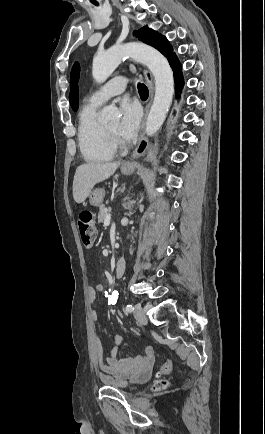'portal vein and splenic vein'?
I'll use <instances>...</instances> for the list:
<instances>
[{
  "instance_id": "portal-vein-and-splenic-vein-1",
  "label": "portal vein and splenic vein",
  "mask_w": 265,
  "mask_h": 434,
  "mask_svg": "<svg viewBox=\"0 0 265 434\" xmlns=\"http://www.w3.org/2000/svg\"><path fill=\"white\" fill-rule=\"evenodd\" d=\"M111 220V214H108L106 220H104V226H109Z\"/></svg>"
}]
</instances>
